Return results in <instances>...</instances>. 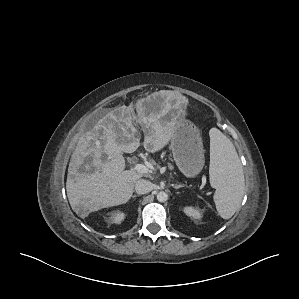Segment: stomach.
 Instances as JSON below:
<instances>
[{
  "instance_id": "1",
  "label": "stomach",
  "mask_w": 299,
  "mask_h": 299,
  "mask_svg": "<svg viewBox=\"0 0 299 299\" xmlns=\"http://www.w3.org/2000/svg\"><path fill=\"white\" fill-rule=\"evenodd\" d=\"M174 161L186 177H194L205 163L203 141L199 129L189 120L175 121L170 139Z\"/></svg>"
}]
</instances>
